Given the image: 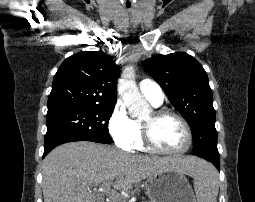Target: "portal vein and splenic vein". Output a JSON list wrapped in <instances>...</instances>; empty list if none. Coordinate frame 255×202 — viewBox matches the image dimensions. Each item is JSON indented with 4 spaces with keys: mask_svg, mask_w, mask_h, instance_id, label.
<instances>
[{
    "mask_svg": "<svg viewBox=\"0 0 255 202\" xmlns=\"http://www.w3.org/2000/svg\"><path fill=\"white\" fill-rule=\"evenodd\" d=\"M111 184H112L111 181H108L107 183L104 184L103 189L105 193L114 195L115 192L110 189Z\"/></svg>",
    "mask_w": 255,
    "mask_h": 202,
    "instance_id": "obj_1",
    "label": "portal vein and splenic vein"
}]
</instances>
